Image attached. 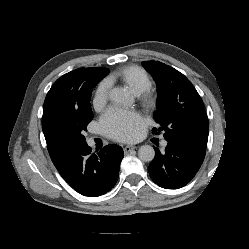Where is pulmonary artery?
Instances as JSON below:
<instances>
[{
	"instance_id": "obj_1",
	"label": "pulmonary artery",
	"mask_w": 249,
	"mask_h": 249,
	"mask_svg": "<svg viewBox=\"0 0 249 249\" xmlns=\"http://www.w3.org/2000/svg\"><path fill=\"white\" fill-rule=\"evenodd\" d=\"M90 142H91V141H90ZM161 144H162L163 147H166V146H167V141H166V140H163Z\"/></svg>"
}]
</instances>
